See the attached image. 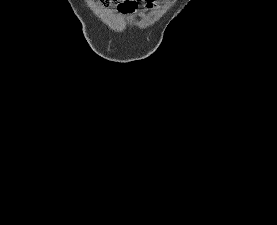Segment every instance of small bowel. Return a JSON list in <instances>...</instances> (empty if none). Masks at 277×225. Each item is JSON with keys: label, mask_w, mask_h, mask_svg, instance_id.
I'll list each match as a JSON object with an SVG mask.
<instances>
[{"label": "small bowel", "mask_w": 277, "mask_h": 225, "mask_svg": "<svg viewBox=\"0 0 277 225\" xmlns=\"http://www.w3.org/2000/svg\"><path fill=\"white\" fill-rule=\"evenodd\" d=\"M151 5H152V3H149V4H148V6H151Z\"/></svg>", "instance_id": "obj_1"}]
</instances>
